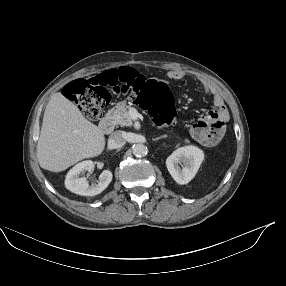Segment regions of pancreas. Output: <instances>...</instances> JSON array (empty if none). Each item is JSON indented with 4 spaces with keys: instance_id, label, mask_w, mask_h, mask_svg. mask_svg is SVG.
<instances>
[{
    "instance_id": "1",
    "label": "pancreas",
    "mask_w": 286,
    "mask_h": 286,
    "mask_svg": "<svg viewBox=\"0 0 286 286\" xmlns=\"http://www.w3.org/2000/svg\"><path fill=\"white\" fill-rule=\"evenodd\" d=\"M131 106L125 102H119L115 107L112 108V117L117 125L121 126H132L133 118L129 113Z\"/></svg>"
}]
</instances>
